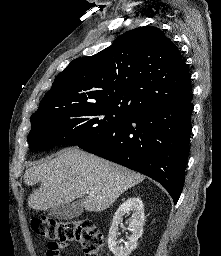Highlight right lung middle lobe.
I'll list each match as a JSON object with an SVG mask.
<instances>
[{"instance_id": "right-lung-middle-lobe-1", "label": "right lung middle lobe", "mask_w": 221, "mask_h": 256, "mask_svg": "<svg viewBox=\"0 0 221 256\" xmlns=\"http://www.w3.org/2000/svg\"><path fill=\"white\" fill-rule=\"evenodd\" d=\"M135 115L112 104H79L31 116L30 149L80 145Z\"/></svg>"}]
</instances>
